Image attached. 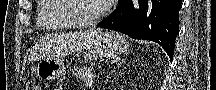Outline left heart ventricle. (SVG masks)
I'll return each instance as SVG.
<instances>
[{
    "label": "left heart ventricle",
    "mask_w": 216,
    "mask_h": 90,
    "mask_svg": "<svg viewBox=\"0 0 216 90\" xmlns=\"http://www.w3.org/2000/svg\"><path fill=\"white\" fill-rule=\"evenodd\" d=\"M70 6H74L73 15L81 20L94 18L101 7V1L80 0L72 1Z\"/></svg>",
    "instance_id": "obj_1"
}]
</instances>
